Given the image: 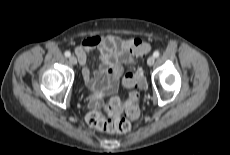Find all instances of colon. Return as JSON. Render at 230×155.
Wrapping results in <instances>:
<instances>
[{
    "label": "colon",
    "instance_id": "5ec220e1",
    "mask_svg": "<svg viewBox=\"0 0 230 155\" xmlns=\"http://www.w3.org/2000/svg\"><path fill=\"white\" fill-rule=\"evenodd\" d=\"M149 49L150 47L147 43L142 42L140 39H133L132 44L128 47V53L140 55L147 53ZM127 79L132 83L134 90L130 93L126 102V114L131 119H137L140 115V93L138 89L143 84V79L139 73L133 72L127 73ZM108 106L112 112L116 113L121 108V102L114 97L109 101ZM86 120L90 127L99 131L127 133L131 130V123L127 119L119 116L108 119L99 110L90 112Z\"/></svg>",
    "mask_w": 230,
    "mask_h": 155
}]
</instances>
